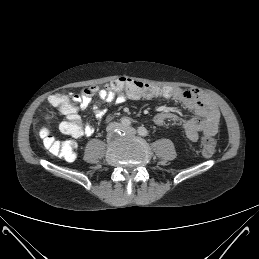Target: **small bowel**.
I'll return each mask as SVG.
<instances>
[{
    "label": "small bowel",
    "instance_id": "small-bowel-1",
    "mask_svg": "<svg viewBox=\"0 0 259 259\" xmlns=\"http://www.w3.org/2000/svg\"><path fill=\"white\" fill-rule=\"evenodd\" d=\"M158 87V86H157ZM98 96L94 102L95 96ZM58 95H53L49 98V102L53 106V99ZM143 97L133 96L127 92H114L109 89H99L95 86L84 88L80 94H74L72 99L66 101L62 106H57L59 111L66 117L72 119L79 118V109H86L89 106L92 112L99 120L103 119L106 114L104 104L118 105L126 100H138ZM144 99H164L168 101H179L187 109L195 113L196 117L183 119L175 113L169 111H161L157 113L153 121L156 125L162 126L168 121L179 123L186 137L193 142L198 141L201 137H214L218 131L220 114L216 105L206 96L195 89H186L182 87H158V93L154 97ZM94 133V128L90 124L82 125L81 133L77 138L82 136H91Z\"/></svg>",
    "mask_w": 259,
    "mask_h": 259
}]
</instances>
